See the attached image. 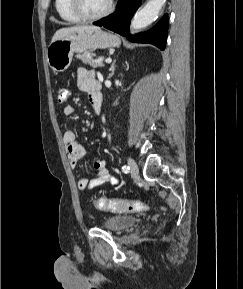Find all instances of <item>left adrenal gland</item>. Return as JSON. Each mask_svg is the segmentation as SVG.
I'll list each match as a JSON object with an SVG mask.
<instances>
[{"label":"left adrenal gland","mask_w":243,"mask_h":289,"mask_svg":"<svg viewBox=\"0 0 243 289\" xmlns=\"http://www.w3.org/2000/svg\"><path fill=\"white\" fill-rule=\"evenodd\" d=\"M115 63H116V60H114L113 63L111 64V66H110V69H109V71H110V73H109V78L114 75L115 68H116Z\"/></svg>","instance_id":"1"}]
</instances>
